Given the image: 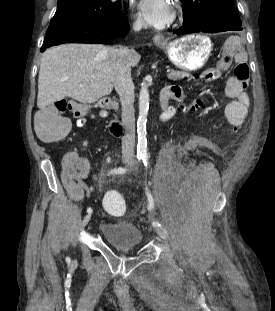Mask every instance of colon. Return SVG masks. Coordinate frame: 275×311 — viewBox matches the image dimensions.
I'll return each mask as SVG.
<instances>
[{
	"mask_svg": "<svg viewBox=\"0 0 275 311\" xmlns=\"http://www.w3.org/2000/svg\"><path fill=\"white\" fill-rule=\"evenodd\" d=\"M235 76L247 85L249 79V67L246 63L241 62L235 66ZM77 111L79 106L76 103H67L58 101L53 106L41 111L36 116V132L38 136L46 141H57L68 136L71 130L70 123L62 116L67 109ZM104 207L107 212L117 215L125 210L120 190H105Z\"/></svg>",
	"mask_w": 275,
	"mask_h": 311,
	"instance_id": "colon-1",
	"label": "colon"
}]
</instances>
